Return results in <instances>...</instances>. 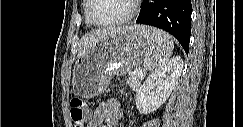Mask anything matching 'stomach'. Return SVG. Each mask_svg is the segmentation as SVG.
<instances>
[{"instance_id":"0dacf381","label":"stomach","mask_w":243,"mask_h":127,"mask_svg":"<svg viewBox=\"0 0 243 127\" xmlns=\"http://www.w3.org/2000/svg\"><path fill=\"white\" fill-rule=\"evenodd\" d=\"M144 26H133L98 40L86 54L77 58L72 86L75 94L93 98L103 92L114 74L124 75L138 68L150 44L142 33Z\"/></svg>"}]
</instances>
